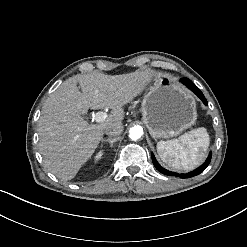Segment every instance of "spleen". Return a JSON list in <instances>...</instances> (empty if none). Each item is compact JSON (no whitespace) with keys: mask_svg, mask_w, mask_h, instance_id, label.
<instances>
[{"mask_svg":"<svg viewBox=\"0 0 247 247\" xmlns=\"http://www.w3.org/2000/svg\"><path fill=\"white\" fill-rule=\"evenodd\" d=\"M210 144L206 128L193 129L175 140L159 141L157 152L161 160L178 170L190 171L199 166ZM176 145V150L168 147Z\"/></svg>","mask_w":247,"mask_h":247,"instance_id":"obj_1","label":"spleen"}]
</instances>
